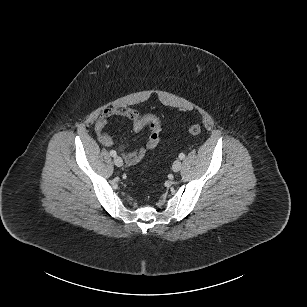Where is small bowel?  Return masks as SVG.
<instances>
[{
  "mask_svg": "<svg viewBox=\"0 0 307 307\" xmlns=\"http://www.w3.org/2000/svg\"><path fill=\"white\" fill-rule=\"evenodd\" d=\"M112 118H125L131 120V133H137L144 128H148L150 131L145 146L140 147L134 151H127L123 145L119 147V151L123 155L127 164L133 165L138 163L149 151L153 150L158 145L162 131L160 120L152 114L141 116L138 110L127 107L106 109L98 118L94 129L96 136L101 144L105 146H111L113 144L112 137L105 130L108 122Z\"/></svg>",
  "mask_w": 307,
  "mask_h": 307,
  "instance_id": "small-bowel-1",
  "label": "small bowel"
}]
</instances>
